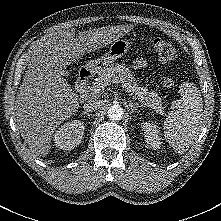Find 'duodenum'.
Segmentation results:
<instances>
[{"label":"duodenum","mask_w":221,"mask_h":221,"mask_svg":"<svg viewBox=\"0 0 221 221\" xmlns=\"http://www.w3.org/2000/svg\"><path fill=\"white\" fill-rule=\"evenodd\" d=\"M92 78V73L88 68H82L79 71L78 79H77V90L79 91L81 97H85L87 93V87Z\"/></svg>","instance_id":"410a0bca"}]
</instances>
